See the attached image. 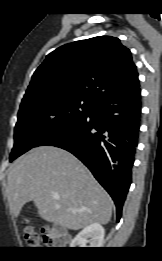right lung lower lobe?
I'll return each instance as SVG.
<instances>
[{
  "instance_id": "1",
  "label": "right lung lower lobe",
  "mask_w": 162,
  "mask_h": 261,
  "mask_svg": "<svg viewBox=\"0 0 162 261\" xmlns=\"http://www.w3.org/2000/svg\"><path fill=\"white\" fill-rule=\"evenodd\" d=\"M140 116L139 87L110 94L95 101L87 115L53 130L34 147L56 146L80 159L114 200L119 221L131 184Z\"/></svg>"
}]
</instances>
